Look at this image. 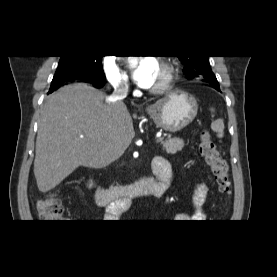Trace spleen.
Listing matches in <instances>:
<instances>
[{"mask_svg": "<svg viewBox=\"0 0 277 277\" xmlns=\"http://www.w3.org/2000/svg\"><path fill=\"white\" fill-rule=\"evenodd\" d=\"M210 110L211 112H214L213 108H211ZM211 128L214 132L217 133V136L219 138H222L224 136V122L222 119H217L214 122H212Z\"/></svg>", "mask_w": 277, "mask_h": 277, "instance_id": "1", "label": "spleen"}]
</instances>
